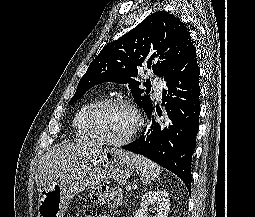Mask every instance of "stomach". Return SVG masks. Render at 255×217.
Masks as SVG:
<instances>
[{
	"label": "stomach",
	"mask_w": 255,
	"mask_h": 217,
	"mask_svg": "<svg viewBox=\"0 0 255 217\" xmlns=\"http://www.w3.org/2000/svg\"><path fill=\"white\" fill-rule=\"evenodd\" d=\"M135 169L130 153L107 148L86 161L81 168L45 186L39 193L38 217H63L71 198L102 180L123 181Z\"/></svg>",
	"instance_id": "0dacf381"
}]
</instances>
